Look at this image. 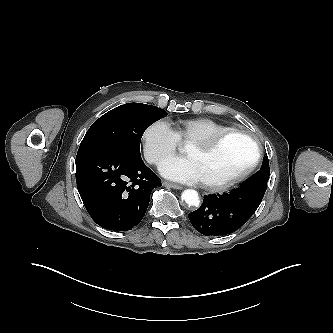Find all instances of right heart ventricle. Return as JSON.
Wrapping results in <instances>:
<instances>
[{
  "label": "right heart ventricle",
  "instance_id": "1",
  "mask_svg": "<svg viewBox=\"0 0 333 333\" xmlns=\"http://www.w3.org/2000/svg\"><path fill=\"white\" fill-rule=\"evenodd\" d=\"M231 129L209 118L181 119L174 123V131L181 142L190 143L196 139L208 138Z\"/></svg>",
  "mask_w": 333,
  "mask_h": 333
}]
</instances>
